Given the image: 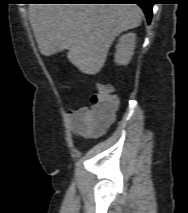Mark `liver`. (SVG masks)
Wrapping results in <instances>:
<instances>
[{
    "label": "liver",
    "mask_w": 188,
    "mask_h": 213,
    "mask_svg": "<svg viewBox=\"0 0 188 213\" xmlns=\"http://www.w3.org/2000/svg\"><path fill=\"white\" fill-rule=\"evenodd\" d=\"M142 10L135 4H32L29 18L42 55L68 50L82 73L102 69L114 39L138 27Z\"/></svg>",
    "instance_id": "liver-1"
}]
</instances>
